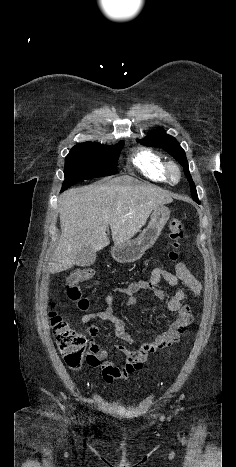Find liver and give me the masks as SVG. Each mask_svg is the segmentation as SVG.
Listing matches in <instances>:
<instances>
[{
    "instance_id": "1",
    "label": "liver",
    "mask_w": 236,
    "mask_h": 467,
    "mask_svg": "<svg viewBox=\"0 0 236 467\" xmlns=\"http://www.w3.org/2000/svg\"><path fill=\"white\" fill-rule=\"evenodd\" d=\"M172 201L169 192L129 176L65 191L58 201L61 236L50 258L49 272L70 269L83 247L96 252L109 245V225L114 244L129 241L155 208Z\"/></svg>"
}]
</instances>
